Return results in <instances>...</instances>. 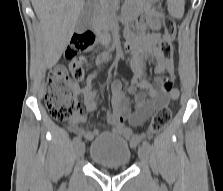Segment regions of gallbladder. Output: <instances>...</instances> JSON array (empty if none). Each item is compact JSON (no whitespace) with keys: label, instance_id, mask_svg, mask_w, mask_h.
<instances>
[{"label":"gallbladder","instance_id":"bac80fb5","mask_svg":"<svg viewBox=\"0 0 223 191\" xmlns=\"http://www.w3.org/2000/svg\"><path fill=\"white\" fill-rule=\"evenodd\" d=\"M90 25V11L88 8H83L78 17L75 29L77 31H84Z\"/></svg>","mask_w":223,"mask_h":191}]
</instances>
